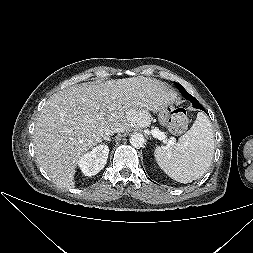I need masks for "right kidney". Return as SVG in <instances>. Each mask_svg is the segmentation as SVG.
Here are the masks:
<instances>
[{
	"instance_id": "ca27d5eb",
	"label": "right kidney",
	"mask_w": 253,
	"mask_h": 253,
	"mask_svg": "<svg viewBox=\"0 0 253 253\" xmlns=\"http://www.w3.org/2000/svg\"><path fill=\"white\" fill-rule=\"evenodd\" d=\"M109 154L107 145H98L90 152L84 154L78 162L85 176H93L99 173L105 166Z\"/></svg>"
}]
</instances>
